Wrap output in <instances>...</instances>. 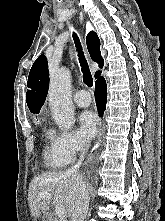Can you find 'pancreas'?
<instances>
[{
	"instance_id": "1",
	"label": "pancreas",
	"mask_w": 165,
	"mask_h": 221,
	"mask_svg": "<svg viewBox=\"0 0 165 221\" xmlns=\"http://www.w3.org/2000/svg\"><path fill=\"white\" fill-rule=\"evenodd\" d=\"M55 221H58V220H55ZM62 221H67V220H62Z\"/></svg>"
}]
</instances>
